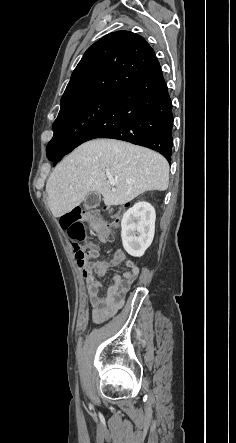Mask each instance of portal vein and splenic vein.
<instances>
[{
	"mask_svg": "<svg viewBox=\"0 0 236 443\" xmlns=\"http://www.w3.org/2000/svg\"><path fill=\"white\" fill-rule=\"evenodd\" d=\"M109 182L112 186H115V184H116V181L112 178H109Z\"/></svg>",
	"mask_w": 236,
	"mask_h": 443,
	"instance_id": "obj_1",
	"label": "portal vein and splenic vein"
}]
</instances>
